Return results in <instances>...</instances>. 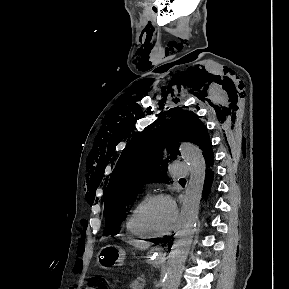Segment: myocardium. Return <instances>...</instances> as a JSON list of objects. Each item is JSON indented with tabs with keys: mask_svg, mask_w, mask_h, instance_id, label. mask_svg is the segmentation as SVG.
I'll return each instance as SVG.
<instances>
[{
	"mask_svg": "<svg viewBox=\"0 0 289 289\" xmlns=\"http://www.w3.org/2000/svg\"><path fill=\"white\" fill-rule=\"evenodd\" d=\"M158 200H167L171 203L172 207H173V211H174V219H173V222L171 224V226L165 230V231H161V232H158V231H155L153 229H151L148 224L146 223V220H145V216H146V212L148 210V208L156 201ZM138 222H139V225L141 226V228L150 236V237H163V236H167L169 234H171L176 226H177V223H178V211H177V208H176V205L174 203V201L172 200V198L168 195V194H165V193H155V194H152L150 196H148L145 201L143 202L142 206L140 207L139 209V212H138Z\"/></svg>",
	"mask_w": 289,
	"mask_h": 289,
	"instance_id": "f54148a6",
	"label": "myocardium"
}]
</instances>
